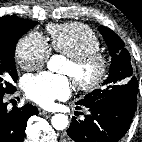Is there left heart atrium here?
Masks as SVG:
<instances>
[{
	"mask_svg": "<svg viewBox=\"0 0 142 142\" xmlns=\"http://www.w3.org/2000/svg\"><path fill=\"white\" fill-rule=\"evenodd\" d=\"M24 91L30 100L47 107L57 99L67 98L71 92V85L65 75L43 72L27 77L24 81Z\"/></svg>",
	"mask_w": 142,
	"mask_h": 142,
	"instance_id": "obj_1",
	"label": "left heart atrium"
}]
</instances>
